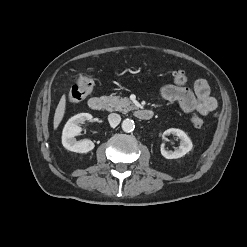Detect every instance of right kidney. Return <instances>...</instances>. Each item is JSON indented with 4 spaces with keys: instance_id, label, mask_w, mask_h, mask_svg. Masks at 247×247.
Segmentation results:
<instances>
[{
    "instance_id": "right-kidney-1",
    "label": "right kidney",
    "mask_w": 247,
    "mask_h": 247,
    "mask_svg": "<svg viewBox=\"0 0 247 247\" xmlns=\"http://www.w3.org/2000/svg\"><path fill=\"white\" fill-rule=\"evenodd\" d=\"M91 119V114L80 113L67 121L62 133V144L67 150L77 153H87L94 149L95 145L91 140L77 141L75 138L81 132L80 124Z\"/></svg>"
}]
</instances>
